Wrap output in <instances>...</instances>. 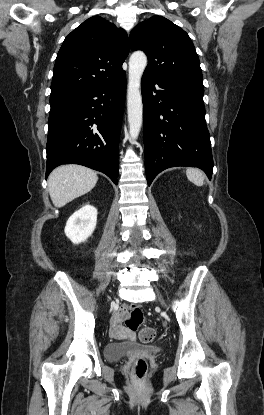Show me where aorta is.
<instances>
[{
    "label": "aorta",
    "instance_id": "obj_1",
    "mask_svg": "<svg viewBox=\"0 0 264 415\" xmlns=\"http://www.w3.org/2000/svg\"><path fill=\"white\" fill-rule=\"evenodd\" d=\"M147 65V57L142 51L134 52L129 59V82L127 88V112L129 135L136 140L142 126L141 77Z\"/></svg>",
    "mask_w": 264,
    "mask_h": 415
}]
</instances>
